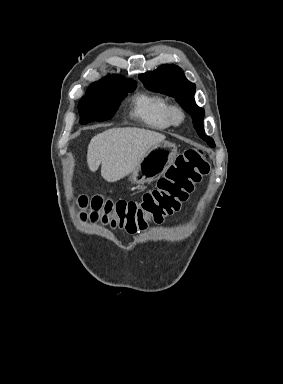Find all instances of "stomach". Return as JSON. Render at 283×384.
Wrapping results in <instances>:
<instances>
[{
    "label": "stomach",
    "mask_w": 283,
    "mask_h": 384,
    "mask_svg": "<svg viewBox=\"0 0 283 384\" xmlns=\"http://www.w3.org/2000/svg\"><path fill=\"white\" fill-rule=\"evenodd\" d=\"M177 156V148L175 144L170 142H157L141 158L136 170L131 172L130 182L137 184V186H144L150 184L154 180H158L167 168L171 166L173 160Z\"/></svg>",
    "instance_id": "stomach-1"
}]
</instances>
